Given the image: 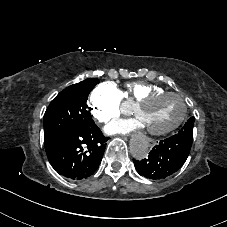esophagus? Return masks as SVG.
Segmentation results:
<instances>
[{
	"instance_id": "1",
	"label": "esophagus",
	"mask_w": 227,
	"mask_h": 227,
	"mask_svg": "<svg viewBox=\"0 0 227 227\" xmlns=\"http://www.w3.org/2000/svg\"><path fill=\"white\" fill-rule=\"evenodd\" d=\"M146 144H147V146H148V147L152 148V147H154V146H155V144H156V143H155V141H154V140L150 139V140H148V141H147V143H146Z\"/></svg>"
}]
</instances>
